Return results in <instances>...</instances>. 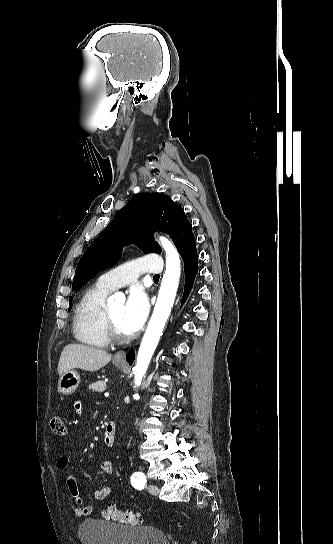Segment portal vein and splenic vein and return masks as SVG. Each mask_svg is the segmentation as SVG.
I'll use <instances>...</instances> for the list:
<instances>
[{
    "label": "portal vein and splenic vein",
    "mask_w": 333,
    "mask_h": 544,
    "mask_svg": "<svg viewBox=\"0 0 333 544\" xmlns=\"http://www.w3.org/2000/svg\"><path fill=\"white\" fill-rule=\"evenodd\" d=\"M104 396H105V397H109V393L106 392V393L104 394Z\"/></svg>",
    "instance_id": "1"
}]
</instances>
